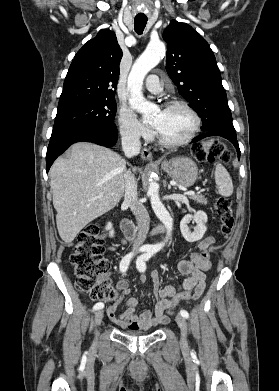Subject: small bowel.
<instances>
[{"label": "small bowel", "instance_id": "small-bowel-1", "mask_svg": "<svg viewBox=\"0 0 279 391\" xmlns=\"http://www.w3.org/2000/svg\"><path fill=\"white\" fill-rule=\"evenodd\" d=\"M214 243V237L208 236L198 244V251L191 253L190 259H181L177 262L178 270L188 277L177 287L165 286L159 288V277L156 272L151 277L156 286L158 300L155 304L154 311L143 310L137 314L138 300L134 297L126 299V311L120 316L116 315V309L123 298L130 294L129 284L125 280L117 283L116 287L121 292V296L110 304L106 310L108 318L116 325L131 330H149L159 324L169 321L168 302L179 292L192 291L190 300H195L201 296L206 286L207 272L211 268L210 259H205L202 252L208 249ZM142 281H145L142 278Z\"/></svg>", "mask_w": 279, "mask_h": 391}]
</instances>
